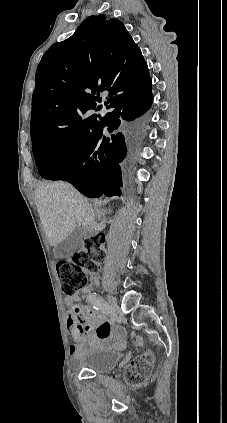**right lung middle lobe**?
<instances>
[{"mask_svg": "<svg viewBox=\"0 0 227 423\" xmlns=\"http://www.w3.org/2000/svg\"><path fill=\"white\" fill-rule=\"evenodd\" d=\"M94 144V135L73 137L54 135L32 143L39 174L48 180H63L77 168Z\"/></svg>", "mask_w": 227, "mask_h": 423, "instance_id": "obj_1", "label": "right lung middle lobe"}]
</instances>
